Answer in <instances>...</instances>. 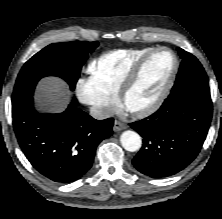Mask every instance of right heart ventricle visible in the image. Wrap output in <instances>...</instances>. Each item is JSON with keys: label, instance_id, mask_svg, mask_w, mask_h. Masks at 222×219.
Listing matches in <instances>:
<instances>
[{"label": "right heart ventricle", "instance_id": "e07e8e85", "mask_svg": "<svg viewBox=\"0 0 222 219\" xmlns=\"http://www.w3.org/2000/svg\"><path fill=\"white\" fill-rule=\"evenodd\" d=\"M153 47L118 49L92 60L87 68L91 82L103 95L115 98L123 78L136 61Z\"/></svg>", "mask_w": 222, "mask_h": 219}]
</instances>
